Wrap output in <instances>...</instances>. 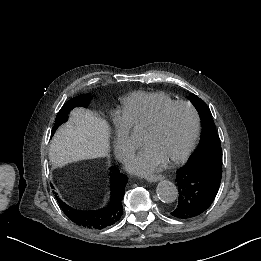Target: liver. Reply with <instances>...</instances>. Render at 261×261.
<instances>
[{
	"instance_id": "6515ba94",
	"label": "liver",
	"mask_w": 261,
	"mask_h": 261,
	"mask_svg": "<svg viewBox=\"0 0 261 261\" xmlns=\"http://www.w3.org/2000/svg\"><path fill=\"white\" fill-rule=\"evenodd\" d=\"M107 123L93 113L76 109L72 122L63 125L57 132L50 147L55 158L74 155L86 158L104 157L108 150Z\"/></svg>"
}]
</instances>
